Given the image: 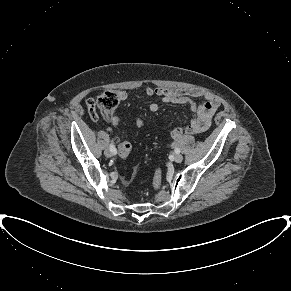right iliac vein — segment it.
Instances as JSON below:
<instances>
[{
	"instance_id": "right-iliac-vein-1",
	"label": "right iliac vein",
	"mask_w": 291,
	"mask_h": 291,
	"mask_svg": "<svg viewBox=\"0 0 291 291\" xmlns=\"http://www.w3.org/2000/svg\"><path fill=\"white\" fill-rule=\"evenodd\" d=\"M106 157H112L114 154L110 149H106L104 152Z\"/></svg>"
}]
</instances>
